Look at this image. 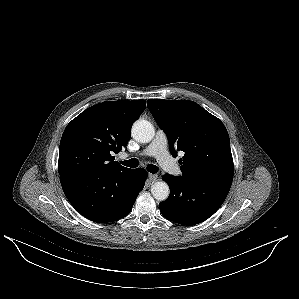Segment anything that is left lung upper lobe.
Segmentation results:
<instances>
[{
	"label": "left lung upper lobe",
	"mask_w": 299,
	"mask_h": 299,
	"mask_svg": "<svg viewBox=\"0 0 299 299\" xmlns=\"http://www.w3.org/2000/svg\"><path fill=\"white\" fill-rule=\"evenodd\" d=\"M147 106L166 133L170 151L179 160L183 178H210L232 182L234 166L224 124L189 100L150 99Z\"/></svg>",
	"instance_id": "1"
}]
</instances>
